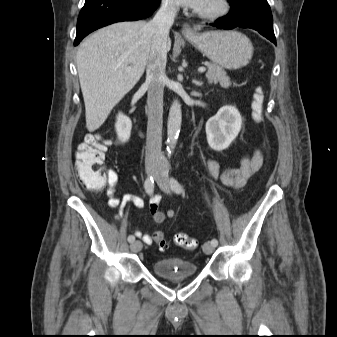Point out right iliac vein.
Listing matches in <instances>:
<instances>
[{"label":"right iliac vein","instance_id":"obj_1","mask_svg":"<svg viewBox=\"0 0 337 337\" xmlns=\"http://www.w3.org/2000/svg\"><path fill=\"white\" fill-rule=\"evenodd\" d=\"M158 172V167L154 164L151 163L147 166V173L149 175H155ZM142 248V243L138 240L133 241L130 245V249L132 252H139Z\"/></svg>","mask_w":337,"mask_h":337}]
</instances>
